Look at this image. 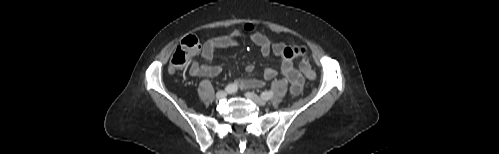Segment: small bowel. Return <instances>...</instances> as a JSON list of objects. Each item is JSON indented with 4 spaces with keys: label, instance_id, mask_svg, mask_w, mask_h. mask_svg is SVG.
<instances>
[{
    "label": "small bowel",
    "instance_id": "obj_1",
    "mask_svg": "<svg viewBox=\"0 0 499 154\" xmlns=\"http://www.w3.org/2000/svg\"><path fill=\"white\" fill-rule=\"evenodd\" d=\"M251 40L261 51L264 57L271 54L276 55L280 61V70L267 66L263 69L262 78H249L236 81L239 89L259 88L281 75L290 84V91L293 95H298L304 85V79L300 72L294 66V60L307 53L304 46H289L283 43L274 42L268 36L254 31L251 25H245L240 29L235 30L231 34L217 36L205 42L202 48L203 63L193 62L190 66L189 73L193 77H215L222 71L220 66L212 65L214 53L221 48L239 44L243 39ZM254 66L247 65L246 71L252 72Z\"/></svg>",
    "mask_w": 499,
    "mask_h": 154
}]
</instances>
